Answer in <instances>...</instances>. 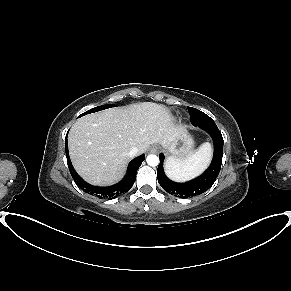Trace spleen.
I'll list each match as a JSON object with an SVG mask.
<instances>
[{"label": "spleen", "mask_w": 291, "mask_h": 291, "mask_svg": "<svg viewBox=\"0 0 291 291\" xmlns=\"http://www.w3.org/2000/svg\"><path fill=\"white\" fill-rule=\"evenodd\" d=\"M212 147L209 143L202 144L194 153L185 158L169 157L164 164L168 178L175 182H185L201 174L209 165Z\"/></svg>", "instance_id": "obj_1"}]
</instances>
